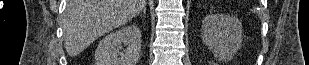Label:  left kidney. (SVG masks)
<instances>
[{
  "label": "left kidney",
  "instance_id": "left-kidney-1",
  "mask_svg": "<svg viewBox=\"0 0 309 65\" xmlns=\"http://www.w3.org/2000/svg\"><path fill=\"white\" fill-rule=\"evenodd\" d=\"M201 37L216 59L230 60L242 45V24L233 16L211 14L202 21Z\"/></svg>",
  "mask_w": 309,
  "mask_h": 65
}]
</instances>
